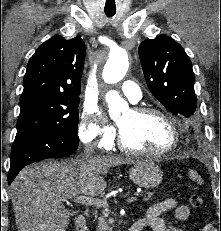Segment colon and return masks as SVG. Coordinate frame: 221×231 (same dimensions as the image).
Instances as JSON below:
<instances>
[{
  "label": "colon",
  "instance_id": "obj_1",
  "mask_svg": "<svg viewBox=\"0 0 221 231\" xmlns=\"http://www.w3.org/2000/svg\"><path fill=\"white\" fill-rule=\"evenodd\" d=\"M189 202L191 206L194 208H199L203 205L202 197L199 194H195V193L189 196Z\"/></svg>",
  "mask_w": 221,
  "mask_h": 231
}]
</instances>
